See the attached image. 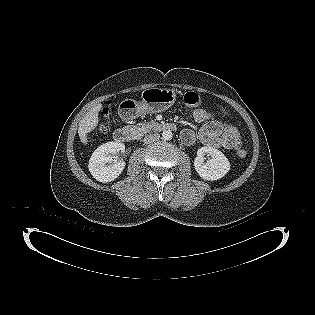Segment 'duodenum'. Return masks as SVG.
Returning <instances> with one entry per match:
<instances>
[{
    "label": "duodenum",
    "mask_w": 315,
    "mask_h": 315,
    "mask_svg": "<svg viewBox=\"0 0 315 315\" xmlns=\"http://www.w3.org/2000/svg\"><path fill=\"white\" fill-rule=\"evenodd\" d=\"M152 127L156 130L159 131H175L176 126L172 123H166V122H155ZM114 140L119 142V143H125L129 142L133 139H135L136 134L134 133L133 130L127 127H121L115 130L114 132Z\"/></svg>",
    "instance_id": "obj_1"
}]
</instances>
